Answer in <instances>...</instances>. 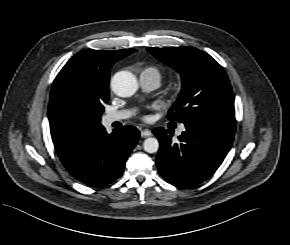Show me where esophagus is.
Returning a JSON list of instances; mask_svg holds the SVG:
<instances>
[{"instance_id":"obj_1","label":"esophagus","mask_w":290,"mask_h":245,"mask_svg":"<svg viewBox=\"0 0 290 245\" xmlns=\"http://www.w3.org/2000/svg\"><path fill=\"white\" fill-rule=\"evenodd\" d=\"M151 135H152V132L150 129L145 128V129L141 130V137L146 138V137L151 136Z\"/></svg>"}]
</instances>
